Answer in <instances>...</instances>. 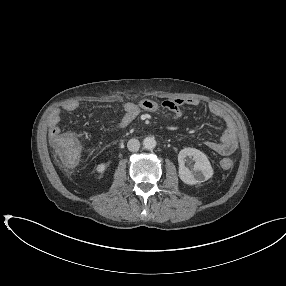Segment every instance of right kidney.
I'll list each match as a JSON object with an SVG mask.
<instances>
[{
    "mask_svg": "<svg viewBox=\"0 0 286 286\" xmlns=\"http://www.w3.org/2000/svg\"><path fill=\"white\" fill-rule=\"evenodd\" d=\"M105 167L106 166L104 163L98 164L96 167V172L102 174L105 170Z\"/></svg>",
    "mask_w": 286,
    "mask_h": 286,
    "instance_id": "obj_1",
    "label": "right kidney"
}]
</instances>
